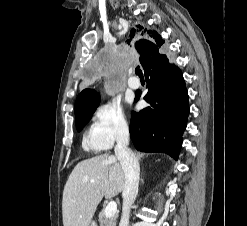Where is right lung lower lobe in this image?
<instances>
[{
	"label": "right lung lower lobe",
	"instance_id": "right-lung-lower-lobe-1",
	"mask_svg": "<svg viewBox=\"0 0 247 226\" xmlns=\"http://www.w3.org/2000/svg\"><path fill=\"white\" fill-rule=\"evenodd\" d=\"M144 71L149 77L144 100L150 106L132 114L133 144L139 151L165 152L178 159L189 113L182 72L170 62L163 47L147 52ZM138 99L135 97V102Z\"/></svg>",
	"mask_w": 247,
	"mask_h": 226
}]
</instances>
